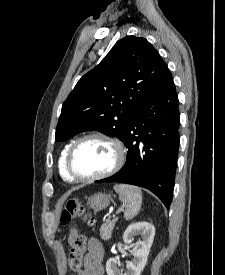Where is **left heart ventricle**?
I'll return each mask as SVG.
<instances>
[{
  "label": "left heart ventricle",
  "mask_w": 225,
  "mask_h": 275,
  "mask_svg": "<svg viewBox=\"0 0 225 275\" xmlns=\"http://www.w3.org/2000/svg\"><path fill=\"white\" fill-rule=\"evenodd\" d=\"M114 160L115 152L109 143L100 139H91L77 147L72 165L79 175L90 176L109 170Z\"/></svg>",
  "instance_id": "obj_1"
}]
</instances>
